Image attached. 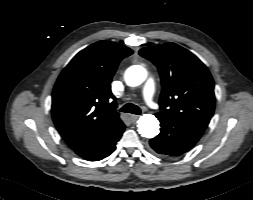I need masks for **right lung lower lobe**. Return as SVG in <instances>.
Returning a JSON list of instances; mask_svg holds the SVG:
<instances>
[{
    "mask_svg": "<svg viewBox=\"0 0 253 200\" xmlns=\"http://www.w3.org/2000/svg\"><path fill=\"white\" fill-rule=\"evenodd\" d=\"M125 129L122 123L109 132L102 139L76 149L75 152L88 161H98L109 156L116 148L117 141L121 138Z\"/></svg>",
    "mask_w": 253,
    "mask_h": 200,
    "instance_id": "right-lung-lower-lobe-1",
    "label": "right lung lower lobe"
}]
</instances>
